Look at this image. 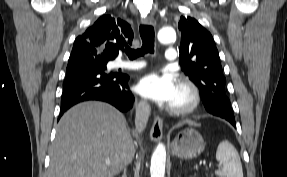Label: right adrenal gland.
<instances>
[{
    "label": "right adrenal gland",
    "mask_w": 287,
    "mask_h": 177,
    "mask_svg": "<svg viewBox=\"0 0 287 177\" xmlns=\"http://www.w3.org/2000/svg\"><path fill=\"white\" fill-rule=\"evenodd\" d=\"M122 177H127V168L125 167L124 170H123V175Z\"/></svg>",
    "instance_id": "obj_1"
}]
</instances>
